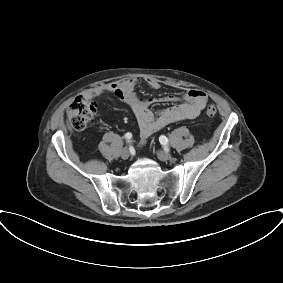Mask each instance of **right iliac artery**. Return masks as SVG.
<instances>
[{
    "instance_id": "right-iliac-artery-1",
    "label": "right iliac artery",
    "mask_w": 283,
    "mask_h": 283,
    "mask_svg": "<svg viewBox=\"0 0 283 283\" xmlns=\"http://www.w3.org/2000/svg\"><path fill=\"white\" fill-rule=\"evenodd\" d=\"M125 138L128 139V140L131 139L132 138V134L131 133H126L125 134Z\"/></svg>"
}]
</instances>
